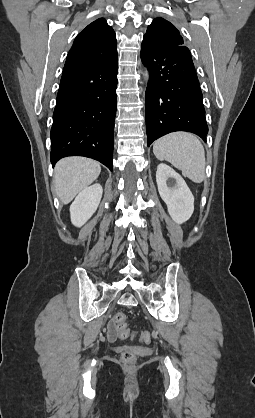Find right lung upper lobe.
<instances>
[{
  "label": "right lung upper lobe",
  "mask_w": 255,
  "mask_h": 418,
  "mask_svg": "<svg viewBox=\"0 0 255 418\" xmlns=\"http://www.w3.org/2000/svg\"><path fill=\"white\" fill-rule=\"evenodd\" d=\"M118 58L116 35L103 18L80 32L67 55L63 72L106 64Z\"/></svg>",
  "instance_id": "obj_1"
}]
</instances>
